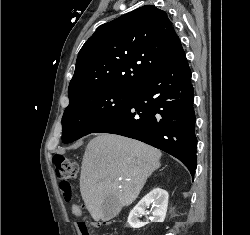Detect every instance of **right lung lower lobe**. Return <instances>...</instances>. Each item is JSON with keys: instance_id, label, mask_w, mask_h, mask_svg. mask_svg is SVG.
I'll use <instances>...</instances> for the list:
<instances>
[{"instance_id": "obj_1", "label": "right lung lower lobe", "mask_w": 250, "mask_h": 235, "mask_svg": "<svg viewBox=\"0 0 250 235\" xmlns=\"http://www.w3.org/2000/svg\"><path fill=\"white\" fill-rule=\"evenodd\" d=\"M191 70L179 42L169 62L144 79L129 101L94 133L137 139L197 167Z\"/></svg>"}]
</instances>
